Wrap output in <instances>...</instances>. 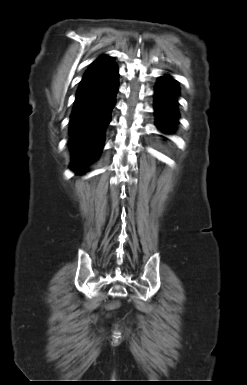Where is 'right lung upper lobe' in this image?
<instances>
[{
    "mask_svg": "<svg viewBox=\"0 0 247 385\" xmlns=\"http://www.w3.org/2000/svg\"><path fill=\"white\" fill-rule=\"evenodd\" d=\"M112 62V58L111 57H108V56H101L99 57L98 59H96L92 64L91 66L89 67V69L87 70V72H90L92 70H95L101 66H104L108 63H111ZM86 72V73H87Z\"/></svg>",
    "mask_w": 247,
    "mask_h": 385,
    "instance_id": "obj_1",
    "label": "right lung upper lobe"
}]
</instances>
